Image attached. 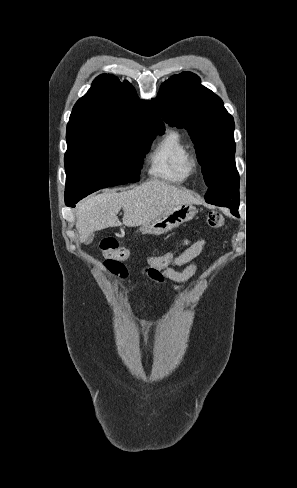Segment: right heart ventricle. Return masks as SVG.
I'll return each instance as SVG.
<instances>
[{
	"label": "right heart ventricle",
	"instance_id": "e07e8e85",
	"mask_svg": "<svg viewBox=\"0 0 297 488\" xmlns=\"http://www.w3.org/2000/svg\"><path fill=\"white\" fill-rule=\"evenodd\" d=\"M190 155L183 136L176 130H168L149 154L148 174L166 182L181 183L190 175L186 166Z\"/></svg>",
	"mask_w": 297,
	"mask_h": 488
}]
</instances>
